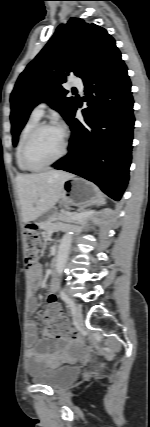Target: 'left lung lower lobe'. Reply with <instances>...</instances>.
Listing matches in <instances>:
<instances>
[{
  "mask_svg": "<svg viewBox=\"0 0 150 427\" xmlns=\"http://www.w3.org/2000/svg\"><path fill=\"white\" fill-rule=\"evenodd\" d=\"M84 85V122L74 117L75 106L67 121L72 131L69 153L53 167L90 180L119 200L129 180L135 119L131 82L117 47Z\"/></svg>",
  "mask_w": 150,
  "mask_h": 427,
  "instance_id": "1",
  "label": "left lung lower lobe"
}]
</instances>
